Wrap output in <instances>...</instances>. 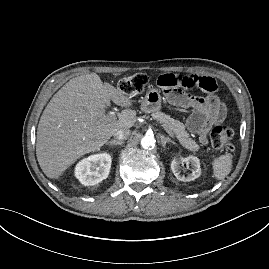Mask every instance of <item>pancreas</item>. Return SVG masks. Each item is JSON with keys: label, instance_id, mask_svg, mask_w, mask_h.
<instances>
[{"label": "pancreas", "instance_id": "pancreas-1", "mask_svg": "<svg viewBox=\"0 0 269 269\" xmlns=\"http://www.w3.org/2000/svg\"><path fill=\"white\" fill-rule=\"evenodd\" d=\"M153 118L165 127L168 134L175 136L183 147L194 153L200 149V146L192 138H190L189 134L185 130V125L180 121L175 120L160 111L153 113Z\"/></svg>", "mask_w": 269, "mask_h": 269}]
</instances>
